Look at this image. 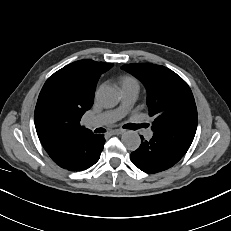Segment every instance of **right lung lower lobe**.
<instances>
[{
  "label": "right lung lower lobe",
  "instance_id": "1",
  "mask_svg": "<svg viewBox=\"0 0 231 231\" xmlns=\"http://www.w3.org/2000/svg\"><path fill=\"white\" fill-rule=\"evenodd\" d=\"M104 144V135L88 131L60 141L47 153L60 167L69 171H82L99 160Z\"/></svg>",
  "mask_w": 231,
  "mask_h": 231
}]
</instances>
